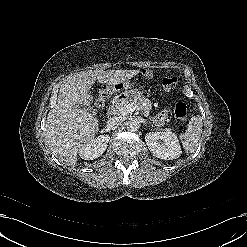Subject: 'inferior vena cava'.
<instances>
[{
    "label": "inferior vena cava",
    "mask_w": 247,
    "mask_h": 247,
    "mask_svg": "<svg viewBox=\"0 0 247 247\" xmlns=\"http://www.w3.org/2000/svg\"><path fill=\"white\" fill-rule=\"evenodd\" d=\"M121 124V120L118 117L109 118L106 123L107 130H113Z\"/></svg>",
    "instance_id": "1"
}]
</instances>
